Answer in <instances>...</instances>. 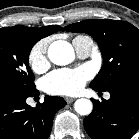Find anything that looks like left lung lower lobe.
Here are the masks:
<instances>
[{
	"label": "left lung lower lobe",
	"mask_w": 139,
	"mask_h": 139,
	"mask_svg": "<svg viewBox=\"0 0 139 139\" xmlns=\"http://www.w3.org/2000/svg\"><path fill=\"white\" fill-rule=\"evenodd\" d=\"M107 91L109 100H93V111L84 119L85 130L92 139H130L139 129V72Z\"/></svg>",
	"instance_id": "left-lung-lower-lobe-1"
}]
</instances>
